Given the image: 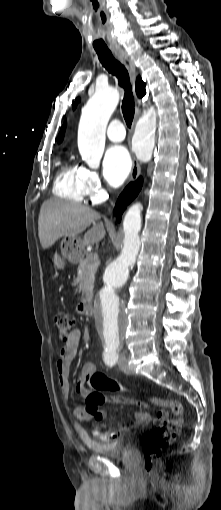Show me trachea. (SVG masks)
Segmentation results:
<instances>
[{"label":"trachea","instance_id":"trachea-1","mask_svg":"<svg viewBox=\"0 0 221 510\" xmlns=\"http://www.w3.org/2000/svg\"><path fill=\"white\" fill-rule=\"evenodd\" d=\"M97 55L103 67L117 77L119 85L124 89L122 113L127 126L130 128L134 118L135 104L128 71L124 65L114 58L112 53L97 51Z\"/></svg>","mask_w":221,"mask_h":510}]
</instances>
